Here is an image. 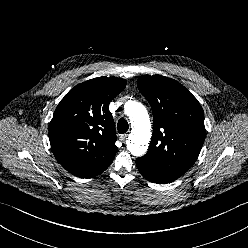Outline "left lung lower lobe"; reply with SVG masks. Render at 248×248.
<instances>
[{
	"label": "left lung lower lobe",
	"instance_id": "0a47b994",
	"mask_svg": "<svg viewBox=\"0 0 248 248\" xmlns=\"http://www.w3.org/2000/svg\"><path fill=\"white\" fill-rule=\"evenodd\" d=\"M136 165L140 173L149 181L154 182V183H170L174 180L169 179L166 175H163L159 172L152 171L149 169L148 165L141 159L137 158L136 160Z\"/></svg>",
	"mask_w": 248,
	"mask_h": 248
}]
</instances>
